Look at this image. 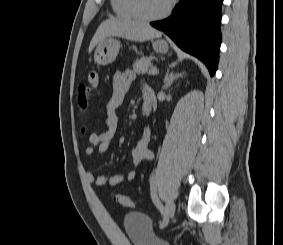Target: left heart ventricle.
<instances>
[{
	"mask_svg": "<svg viewBox=\"0 0 283 245\" xmlns=\"http://www.w3.org/2000/svg\"><path fill=\"white\" fill-rule=\"evenodd\" d=\"M169 0H141V8L148 15L161 13L167 6Z\"/></svg>",
	"mask_w": 283,
	"mask_h": 245,
	"instance_id": "1",
	"label": "left heart ventricle"
}]
</instances>
